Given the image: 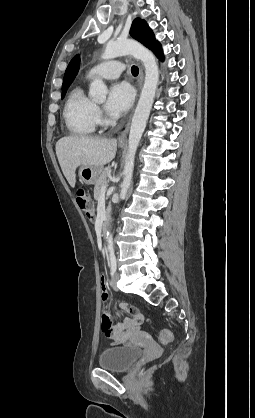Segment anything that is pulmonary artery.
I'll return each instance as SVG.
<instances>
[{
    "instance_id": "obj_1",
    "label": "pulmonary artery",
    "mask_w": 255,
    "mask_h": 418,
    "mask_svg": "<svg viewBox=\"0 0 255 418\" xmlns=\"http://www.w3.org/2000/svg\"><path fill=\"white\" fill-rule=\"evenodd\" d=\"M124 70V65L122 62L117 60L107 61L101 64H98L92 67L87 76L94 77L99 76L106 79H115L120 76Z\"/></svg>"
}]
</instances>
